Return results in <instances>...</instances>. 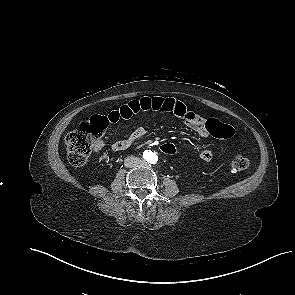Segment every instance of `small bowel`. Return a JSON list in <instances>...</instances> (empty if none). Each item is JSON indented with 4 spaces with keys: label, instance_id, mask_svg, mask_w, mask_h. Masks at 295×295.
I'll return each mask as SVG.
<instances>
[{
    "label": "small bowel",
    "instance_id": "small-bowel-1",
    "mask_svg": "<svg viewBox=\"0 0 295 295\" xmlns=\"http://www.w3.org/2000/svg\"><path fill=\"white\" fill-rule=\"evenodd\" d=\"M149 111L171 113L182 120L187 128L201 137H207L210 134L207 130V122L210 119H206L194 111L189 110L183 102L174 98L143 97L132 100L120 106L118 109L110 111L103 117L107 124H113L119 120H127L137 114ZM146 133L145 128L138 127L127 138L114 142L111 146L112 150L115 152L125 151L136 141L144 137ZM97 147L100 148L101 144H98ZM199 157L201 160L209 162L213 159L214 154L210 149L203 148L199 151Z\"/></svg>",
    "mask_w": 295,
    "mask_h": 295
}]
</instances>
